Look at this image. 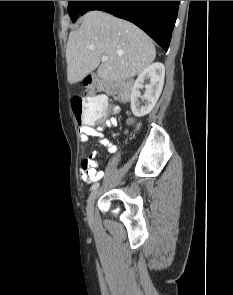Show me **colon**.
Masks as SVG:
<instances>
[{
    "label": "colon",
    "mask_w": 233,
    "mask_h": 295,
    "mask_svg": "<svg viewBox=\"0 0 233 295\" xmlns=\"http://www.w3.org/2000/svg\"><path fill=\"white\" fill-rule=\"evenodd\" d=\"M85 97H74L71 100L73 114L79 124L92 123L108 113V107L103 94L127 96L130 94L132 81L106 82L94 78L84 81Z\"/></svg>",
    "instance_id": "5ec220e1"
}]
</instances>
